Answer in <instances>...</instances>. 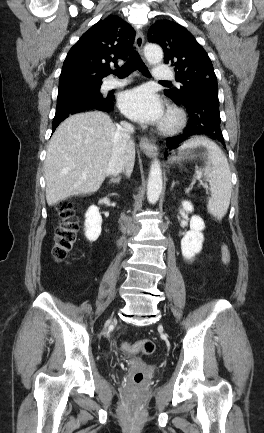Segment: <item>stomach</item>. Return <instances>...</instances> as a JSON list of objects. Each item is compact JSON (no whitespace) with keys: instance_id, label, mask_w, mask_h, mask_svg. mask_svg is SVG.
Returning <instances> with one entry per match:
<instances>
[{"instance_id":"0dacf381","label":"stomach","mask_w":264,"mask_h":433,"mask_svg":"<svg viewBox=\"0 0 264 433\" xmlns=\"http://www.w3.org/2000/svg\"><path fill=\"white\" fill-rule=\"evenodd\" d=\"M174 160H175L174 158H171V159H170L171 162H173Z\"/></svg>"}]
</instances>
